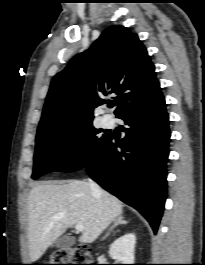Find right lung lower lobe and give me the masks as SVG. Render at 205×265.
I'll return each mask as SVG.
<instances>
[{
    "mask_svg": "<svg viewBox=\"0 0 205 265\" xmlns=\"http://www.w3.org/2000/svg\"><path fill=\"white\" fill-rule=\"evenodd\" d=\"M126 136L109 135L85 166L100 186L136 208L157 232L166 199L169 117L161 90L119 116Z\"/></svg>",
    "mask_w": 205,
    "mask_h": 265,
    "instance_id": "right-lung-lower-lobe-1",
    "label": "right lung lower lobe"
}]
</instances>
